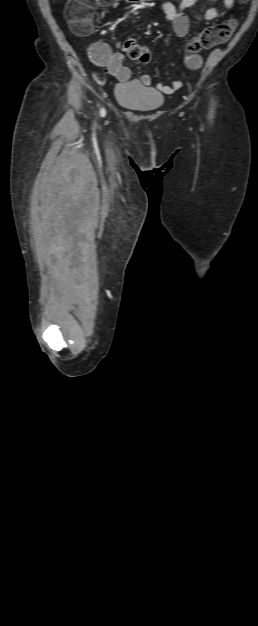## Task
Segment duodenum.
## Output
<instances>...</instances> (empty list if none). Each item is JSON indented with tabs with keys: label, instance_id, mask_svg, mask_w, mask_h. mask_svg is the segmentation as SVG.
<instances>
[{
	"label": "duodenum",
	"instance_id": "duodenum-1",
	"mask_svg": "<svg viewBox=\"0 0 258 626\" xmlns=\"http://www.w3.org/2000/svg\"><path fill=\"white\" fill-rule=\"evenodd\" d=\"M125 1L129 3H135V2H145V1H150V0H125Z\"/></svg>",
	"mask_w": 258,
	"mask_h": 626
}]
</instances>
